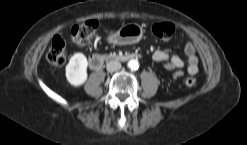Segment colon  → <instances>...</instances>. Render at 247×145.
<instances>
[{"instance_id": "obj_1", "label": "colon", "mask_w": 247, "mask_h": 145, "mask_svg": "<svg viewBox=\"0 0 247 145\" xmlns=\"http://www.w3.org/2000/svg\"><path fill=\"white\" fill-rule=\"evenodd\" d=\"M97 29L96 20H87L73 27L71 31L72 39L80 46L86 45L94 37ZM153 33L162 40H169L175 34V27L171 23H159L152 27ZM47 59L53 65H62L66 60L65 40L62 35L54 36L49 50L47 52ZM183 75L181 71H177L174 77L179 78ZM196 77L189 75L185 79V84L188 87L196 84Z\"/></svg>"}]
</instances>
